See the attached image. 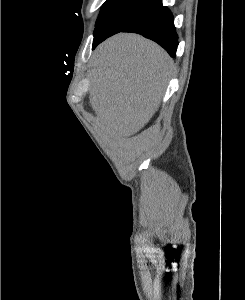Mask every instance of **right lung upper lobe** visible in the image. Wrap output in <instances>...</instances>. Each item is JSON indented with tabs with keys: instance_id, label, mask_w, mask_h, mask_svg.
Returning a JSON list of instances; mask_svg holds the SVG:
<instances>
[{
	"instance_id": "cb5924a9",
	"label": "right lung upper lobe",
	"mask_w": 245,
	"mask_h": 300,
	"mask_svg": "<svg viewBox=\"0 0 245 300\" xmlns=\"http://www.w3.org/2000/svg\"><path fill=\"white\" fill-rule=\"evenodd\" d=\"M139 1H144V2L159 1V2H161V0H139Z\"/></svg>"
}]
</instances>
